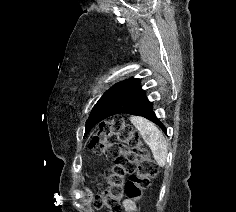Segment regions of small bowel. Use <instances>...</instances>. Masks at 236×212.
<instances>
[{"mask_svg":"<svg viewBox=\"0 0 236 212\" xmlns=\"http://www.w3.org/2000/svg\"><path fill=\"white\" fill-rule=\"evenodd\" d=\"M125 208L127 210L126 212H134L133 210H135L136 206L134 202L127 200L125 202Z\"/></svg>","mask_w":236,"mask_h":212,"instance_id":"obj_1","label":"small bowel"}]
</instances>
